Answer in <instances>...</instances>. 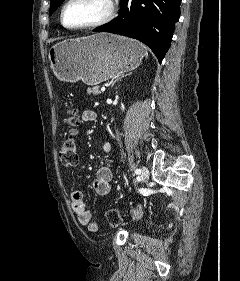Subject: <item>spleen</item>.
Returning <instances> with one entry per match:
<instances>
[{
  "mask_svg": "<svg viewBox=\"0 0 240 281\" xmlns=\"http://www.w3.org/2000/svg\"><path fill=\"white\" fill-rule=\"evenodd\" d=\"M145 56H146V58L148 57V52L147 51L145 52Z\"/></svg>",
  "mask_w": 240,
  "mask_h": 281,
  "instance_id": "spleen-1",
  "label": "spleen"
}]
</instances>
